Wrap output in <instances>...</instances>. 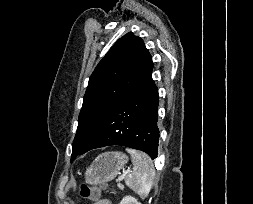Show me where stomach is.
Segmentation results:
<instances>
[{
  "mask_svg": "<svg viewBox=\"0 0 253 204\" xmlns=\"http://www.w3.org/2000/svg\"><path fill=\"white\" fill-rule=\"evenodd\" d=\"M127 162L128 157L121 152L100 154L85 172L86 183L100 185L112 181Z\"/></svg>",
  "mask_w": 253,
  "mask_h": 204,
  "instance_id": "1",
  "label": "stomach"
}]
</instances>
